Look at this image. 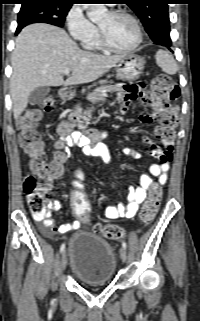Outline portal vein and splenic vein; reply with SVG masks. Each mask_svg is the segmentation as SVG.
<instances>
[{
  "label": "portal vein and splenic vein",
  "mask_w": 200,
  "mask_h": 321,
  "mask_svg": "<svg viewBox=\"0 0 200 321\" xmlns=\"http://www.w3.org/2000/svg\"><path fill=\"white\" fill-rule=\"evenodd\" d=\"M64 74H65V75H69V74H70V70H69V69L65 70V71H64Z\"/></svg>",
  "instance_id": "18ae733b"
}]
</instances>
